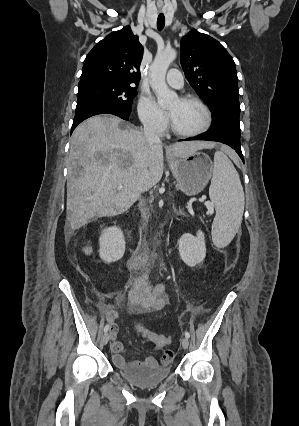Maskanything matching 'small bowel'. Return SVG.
<instances>
[{"label":"small bowel","mask_w":299,"mask_h":426,"mask_svg":"<svg viewBox=\"0 0 299 426\" xmlns=\"http://www.w3.org/2000/svg\"><path fill=\"white\" fill-rule=\"evenodd\" d=\"M130 310L133 313L143 314L160 310L166 303L165 287L161 284L152 288L147 283V276L139 277L129 293ZM119 314L116 311L108 310L107 319L111 324V349L113 352L112 360L118 369H131L136 367H154L158 362L153 357H147L142 360L127 361L124 356V346L116 340L118 332L117 319ZM173 354L170 351H164L161 355V363L168 364L172 360Z\"/></svg>","instance_id":"1"}]
</instances>
